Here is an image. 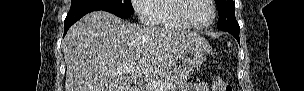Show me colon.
Instances as JSON below:
<instances>
[{"label":"colon","mask_w":304,"mask_h":91,"mask_svg":"<svg viewBox=\"0 0 304 91\" xmlns=\"http://www.w3.org/2000/svg\"><path fill=\"white\" fill-rule=\"evenodd\" d=\"M214 91H232L233 88L221 77H216L213 84Z\"/></svg>","instance_id":"1"}]
</instances>
